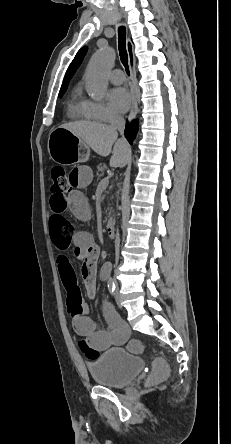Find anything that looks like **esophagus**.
<instances>
[{
	"label": "esophagus",
	"mask_w": 231,
	"mask_h": 444,
	"mask_svg": "<svg viewBox=\"0 0 231 444\" xmlns=\"http://www.w3.org/2000/svg\"><path fill=\"white\" fill-rule=\"evenodd\" d=\"M126 49H127V53H128V59H129V66L130 68H134V62H135V58H134V50H133V45L130 42L129 39H127L126 42ZM132 88H131V93H132V107L130 110V113L128 115V120L131 121L132 119H134L138 113V97H137V92L134 86V80L132 79Z\"/></svg>",
	"instance_id": "34e87169"
}]
</instances>
